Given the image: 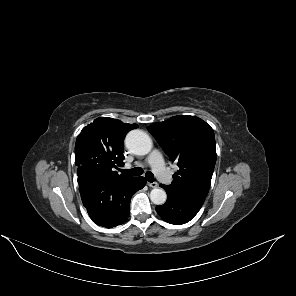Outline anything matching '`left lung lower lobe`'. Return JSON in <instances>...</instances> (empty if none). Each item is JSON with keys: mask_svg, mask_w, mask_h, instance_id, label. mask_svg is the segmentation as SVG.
<instances>
[{"mask_svg": "<svg viewBox=\"0 0 296 296\" xmlns=\"http://www.w3.org/2000/svg\"><path fill=\"white\" fill-rule=\"evenodd\" d=\"M167 192V202L156 207L158 215L166 222L180 225L189 222L200 210L205 198L197 195L177 194L160 185Z\"/></svg>", "mask_w": 296, "mask_h": 296, "instance_id": "left-lung-lower-lobe-1", "label": "left lung lower lobe"}]
</instances>
